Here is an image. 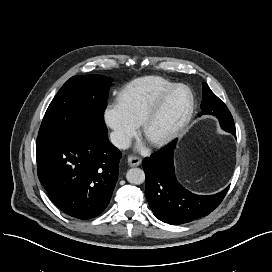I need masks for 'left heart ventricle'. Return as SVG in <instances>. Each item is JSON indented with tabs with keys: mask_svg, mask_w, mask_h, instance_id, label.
Returning a JSON list of instances; mask_svg holds the SVG:
<instances>
[{
	"mask_svg": "<svg viewBox=\"0 0 272 272\" xmlns=\"http://www.w3.org/2000/svg\"><path fill=\"white\" fill-rule=\"evenodd\" d=\"M185 100L184 93H177L158 115L151 127V134L162 133L175 125L183 113Z\"/></svg>",
	"mask_w": 272,
	"mask_h": 272,
	"instance_id": "1",
	"label": "left heart ventricle"
}]
</instances>
